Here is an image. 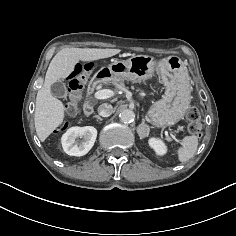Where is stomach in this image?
<instances>
[{"label": "stomach", "mask_w": 236, "mask_h": 236, "mask_svg": "<svg viewBox=\"0 0 236 236\" xmlns=\"http://www.w3.org/2000/svg\"><path fill=\"white\" fill-rule=\"evenodd\" d=\"M159 65L166 86L164 97L154 102L147 115L159 128L174 125L185 115L190 104L187 70L177 56H169L157 63L150 55H132L127 60L114 61L95 75L99 81L145 83Z\"/></svg>", "instance_id": "1"}]
</instances>
